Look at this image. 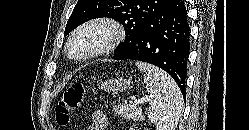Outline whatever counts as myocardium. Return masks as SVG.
<instances>
[{"label":"myocardium","instance_id":"1","mask_svg":"<svg viewBox=\"0 0 249 130\" xmlns=\"http://www.w3.org/2000/svg\"><path fill=\"white\" fill-rule=\"evenodd\" d=\"M94 28L106 29L109 33L107 40L84 55H73L70 52L73 40L84 32ZM125 36V28L118 20L110 17H94L81 23L71 32L65 44V53L71 60L85 62L113 51L124 40Z\"/></svg>","mask_w":249,"mask_h":130}]
</instances>
